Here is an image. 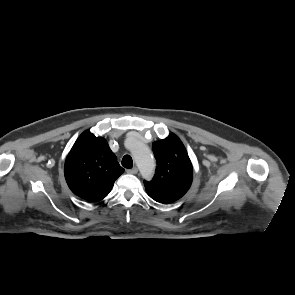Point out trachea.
Listing matches in <instances>:
<instances>
[{
  "label": "trachea",
  "instance_id": "obj_1",
  "mask_svg": "<svg viewBox=\"0 0 295 295\" xmlns=\"http://www.w3.org/2000/svg\"><path fill=\"white\" fill-rule=\"evenodd\" d=\"M122 166L131 169L133 167V160L130 155H125L122 159Z\"/></svg>",
  "mask_w": 295,
  "mask_h": 295
}]
</instances>
